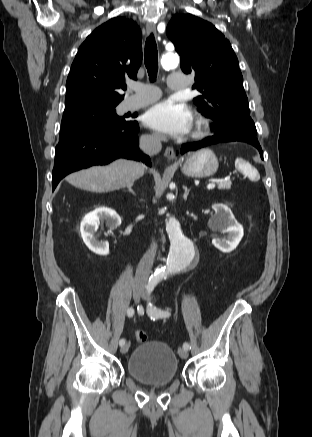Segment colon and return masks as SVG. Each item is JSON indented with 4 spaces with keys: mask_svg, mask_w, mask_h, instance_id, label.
<instances>
[{
    "mask_svg": "<svg viewBox=\"0 0 312 437\" xmlns=\"http://www.w3.org/2000/svg\"><path fill=\"white\" fill-rule=\"evenodd\" d=\"M135 338L139 342H145V341H147V334L143 330H137L135 332Z\"/></svg>",
    "mask_w": 312,
    "mask_h": 437,
    "instance_id": "obj_1",
    "label": "colon"
}]
</instances>
